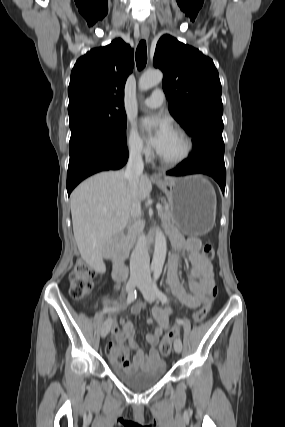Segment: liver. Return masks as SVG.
Returning a JSON list of instances; mask_svg holds the SVG:
<instances>
[{"mask_svg": "<svg viewBox=\"0 0 285 427\" xmlns=\"http://www.w3.org/2000/svg\"><path fill=\"white\" fill-rule=\"evenodd\" d=\"M151 190L148 176L141 174L134 191L124 171L101 172L75 188L70 197L73 232L86 263L103 268L106 244L126 227L133 202L145 200Z\"/></svg>", "mask_w": 285, "mask_h": 427, "instance_id": "liver-1", "label": "liver"}]
</instances>
